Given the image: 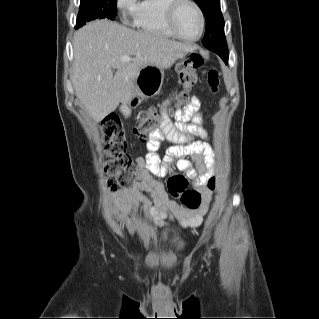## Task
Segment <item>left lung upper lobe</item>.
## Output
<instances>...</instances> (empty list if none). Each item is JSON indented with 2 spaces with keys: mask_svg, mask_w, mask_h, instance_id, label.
<instances>
[{
  "mask_svg": "<svg viewBox=\"0 0 319 319\" xmlns=\"http://www.w3.org/2000/svg\"><path fill=\"white\" fill-rule=\"evenodd\" d=\"M206 18L203 45L217 53L225 62L228 49L224 35V19L220 10V0H194Z\"/></svg>",
  "mask_w": 319,
  "mask_h": 319,
  "instance_id": "1",
  "label": "left lung upper lobe"
}]
</instances>
